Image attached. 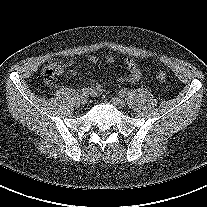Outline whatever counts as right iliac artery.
I'll list each match as a JSON object with an SVG mask.
<instances>
[{"instance_id": "82829eb1", "label": "right iliac artery", "mask_w": 207, "mask_h": 207, "mask_svg": "<svg viewBox=\"0 0 207 207\" xmlns=\"http://www.w3.org/2000/svg\"><path fill=\"white\" fill-rule=\"evenodd\" d=\"M82 95H87L88 94V89L87 88H83L81 90Z\"/></svg>"}]
</instances>
